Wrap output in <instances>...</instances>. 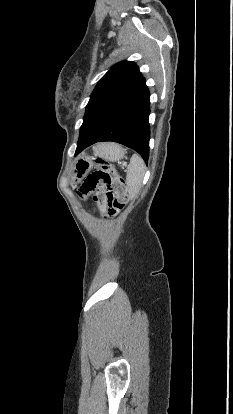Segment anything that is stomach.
Listing matches in <instances>:
<instances>
[{
    "mask_svg": "<svg viewBox=\"0 0 233 414\" xmlns=\"http://www.w3.org/2000/svg\"><path fill=\"white\" fill-rule=\"evenodd\" d=\"M96 154L108 161H118L124 156L123 149L114 143L98 145ZM93 166L92 158L89 156L78 157L75 161L73 179L80 180Z\"/></svg>",
    "mask_w": 233,
    "mask_h": 414,
    "instance_id": "1",
    "label": "stomach"
}]
</instances>
